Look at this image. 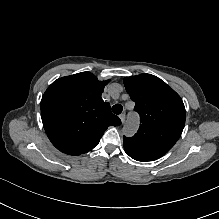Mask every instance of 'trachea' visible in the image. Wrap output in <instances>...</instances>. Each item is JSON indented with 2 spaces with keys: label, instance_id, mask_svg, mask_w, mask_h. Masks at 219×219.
Masks as SVG:
<instances>
[{
  "label": "trachea",
  "instance_id": "3493384b",
  "mask_svg": "<svg viewBox=\"0 0 219 219\" xmlns=\"http://www.w3.org/2000/svg\"><path fill=\"white\" fill-rule=\"evenodd\" d=\"M123 111V106L121 104H115L113 107H112V112L114 114H120L121 112Z\"/></svg>",
  "mask_w": 219,
  "mask_h": 219
}]
</instances>
